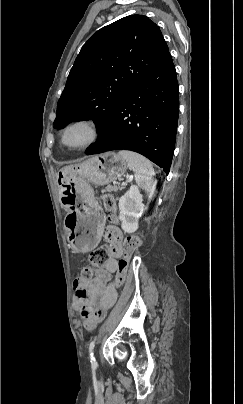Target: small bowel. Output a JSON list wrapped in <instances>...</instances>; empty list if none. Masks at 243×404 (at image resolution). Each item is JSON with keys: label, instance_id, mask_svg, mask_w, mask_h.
Returning a JSON list of instances; mask_svg holds the SVG:
<instances>
[{"label": "small bowel", "instance_id": "obj_1", "mask_svg": "<svg viewBox=\"0 0 243 404\" xmlns=\"http://www.w3.org/2000/svg\"><path fill=\"white\" fill-rule=\"evenodd\" d=\"M105 239L111 244L113 254L119 257L122 241L120 230L108 227ZM117 268L118 262L110 259L98 271L94 279L90 281L78 279L74 282V307L80 312L84 327L88 331H93L97 327L98 316L106 315L117 300V291L110 282L111 275L116 272Z\"/></svg>", "mask_w": 243, "mask_h": 404}]
</instances>
